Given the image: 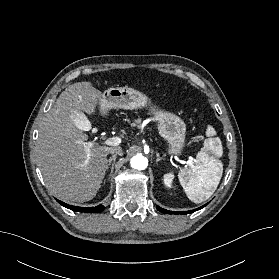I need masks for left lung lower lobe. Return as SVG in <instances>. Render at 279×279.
I'll use <instances>...</instances> for the list:
<instances>
[{
    "label": "left lung lower lobe",
    "mask_w": 279,
    "mask_h": 279,
    "mask_svg": "<svg viewBox=\"0 0 279 279\" xmlns=\"http://www.w3.org/2000/svg\"><path fill=\"white\" fill-rule=\"evenodd\" d=\"M206 205H207V204L203 205L202 207H199V208L196 209V210H199V209L203 208V207L206 206ZM157 209H158L159 211H161L162 213H166V214H188V213H192V212L196 211V210H191V211L175 212V211L165 210V209H163V208H161V207H158V206H157Z\"/></svg>",
    "instance_id": "obj_1"
}]
</instances>
